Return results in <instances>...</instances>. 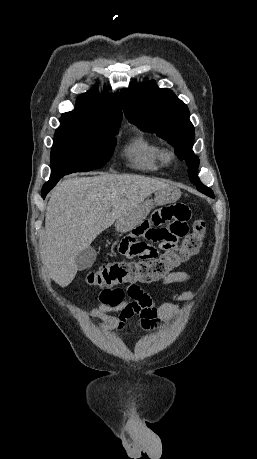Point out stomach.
<instances>
[{"mask_svg": "<svg viewBox=\"0 0 257 459\" xmlns=\"http://www.w3.org/2000/svg\"><path fill=\"white\" fill-rule=\"evenodd\" d=\"M181 195L178 188L169 186L155 192L154 199H147L115 222V229L120 233H126L134 228L135 223H142L153 209V205L172 203Z\"/></svg>", "mask_w": 257, "mask_h": 459, "instance_id": "obj_1", "label": "stomach"}]
</instances>
